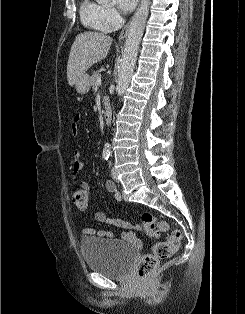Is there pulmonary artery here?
I'll use <instances>...</instances> for the list:
<instances>
[{
    "instance_id": "e3ab8cb5",
    "label": "pulmonary artery",
    "mask_w": 245,
    "mask_h": 314,
    "mask_svg": "<svg viewBox=\"0 0 245 314\" xmlns=\"http://www.w3.org/2000/svg\"><path fill=\"white\" fill-rule=\"evenodd\" d=\"M111 31H113L112 29H110V30H107L106 32H111Z\"/></svg>"
}]
</instances>
